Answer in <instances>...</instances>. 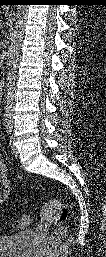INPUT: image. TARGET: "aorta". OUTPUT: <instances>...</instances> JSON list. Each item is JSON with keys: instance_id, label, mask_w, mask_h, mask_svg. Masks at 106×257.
I'll return each mask as SVG.
<instances>
[{"instance_id": "aorta-1", "label": "aorta", "mask_w": 106, "mask_h": 257, "mask_svg": "<svg viewBox=\"0 0 106 257\" xmlns=\"http://www.w3.org/2000/svg\"><path fill=\"white\" fill-rule=\"evenodd\" d=\"M27 17V7L24 5H18L17 7V27L20 28ZM21 39V33L16 30L11 35L12 45L9 49L10 68L7 77V92L5 95V116L8 123H10V112L13 105V90L16 80V68L19 57V41Z\"/></svg>"}]
</instances>
